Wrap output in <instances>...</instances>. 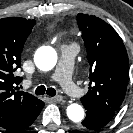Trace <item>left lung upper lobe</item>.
Wrapping results in <instances>:
<instances>
[{"instance_id": "obj_1", "label": "left lung upper lobe", "mask_w": 133, "mask_h": 133, "mask_svg": "<svg viewBox=\"0 0 133 133\" xmlns=\"http://www.w3.org/2000/svg\"><path fill=\"white\" fill-rule=\"evenodd\" d=\"M77 22L90 65V87L81 102L115 113L124 100L128 82L125 46L117 32L100 18L78 14Z\"/></svg>"}]
</instances>
